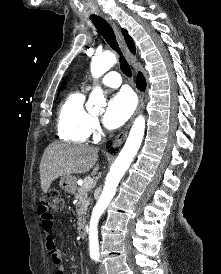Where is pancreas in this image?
<instances>
[{"instance_id":"cf45deb5","label":"pancreas","mask_w":221,"mask_h":274,"mask_svg":"<svg viewBox=\"0 0 221 274\" xmlns=\"http://www.w3.org/2000/svg\"><path fill=\"white\" fill-rule=\"evenodd\" d=\"M77 190L78 192L74 194V197L78 200L76 203V212L78 214L77 224L81 227L85 223L87 209L91 201V199L88 198L90 188H86L85 184H83Z\"/></svg>"}]
</instances>
